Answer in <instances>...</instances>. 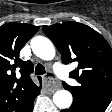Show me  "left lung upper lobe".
<instances>
[{"label": "left lung upper lobe", "instance_id": "obj_1", "mask_svg": "<svg viewBox=\"0 0 112 112\" xmlns=\"http://www.w3.org/2000/svg\"><path fill=\"white\" fill-rule=\"evenodd\" d=\"M61 53L62 62H77L70 77L78 85L63 82L74 102L108 106L112 100V49L102 35L87 25L70 22L42 27Z\"/></svg>", "mask_w": 112, "mask_h": 112}]
</instances>
